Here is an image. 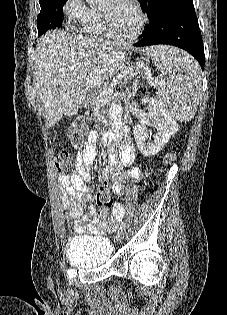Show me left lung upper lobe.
<instances>
[{
    "instance_id": "obj_1",
    "label": "left lung upper lobe",
    "mask_w": 227,
    "mask_h": 315,
    "mask_svg": "<svg viewBox=\"0 0 227 315\" xmlns=\"http://www.w3.org/2000/svg\"><path fill=\"white\" fill-rule=\"evenodd\" d=\"M144 12L147 13L148 18L155 19L158 15L166 10L185 4H193V0H138Z\"/></svg>"
}]
</instances>
